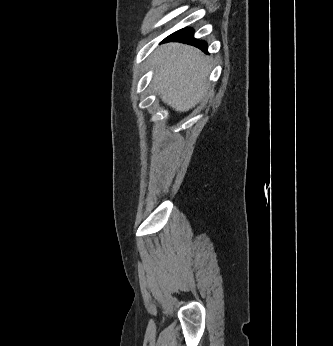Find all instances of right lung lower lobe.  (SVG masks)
<instances>
[{
	"label": "right lung lower lobe",
	"instance_id": "98d812e1",
	"mask_svg": "<svg viewBox=\"0 0 333 346\" xmlns=\"http://www.w3.org/2000/svg\"><path fill=\"white\" fill-rule=\"evenodd\" d=\"M182 42L194 45L204 52H207V43L203 40L194 38V31L192 28H184L169 35L163 42Z\"/></svg>",
	"mask_w": 333,
	"mask_h": 346
}]
</instances>
